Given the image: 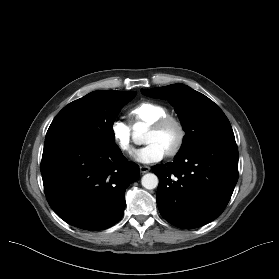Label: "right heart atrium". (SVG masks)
<instances>
[{"mask_svg":"<svg viewBox=\"0 0 279 279\" xmlns=\"http://www.w3.org/2000/svg\"><path fill=\"white\" fill-rule=\"evenodd\" d=\"M113 141L117 147L125 153H131L134 149V141L131 128L122 120H115L110 127Z\"/></svg>","mask_w":279,"mask_h":279,"instance_id":"1","label":"right heart atrium"}]
</instances>
